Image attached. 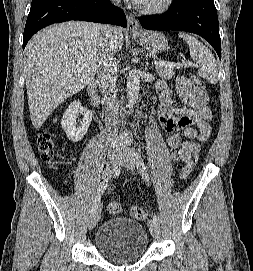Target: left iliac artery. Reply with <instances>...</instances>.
Returning <instances> with one entry per match:
<instances>
[{"label":"left iliac artery","instance_id":"left-iliac-artery-1","mask_svg":"<svg viewBox=\"0 0 253 271\" xmlns=\"http://www.w3.org/2000/svg\"><path fill=\"white\" fill-rule=\"evenodd\" d=\"M137 169H138V172L141 174V176L145 179V180H149V174L147 172V169H146V166H145V163H144V160L142 158V154L141 152L138 150L137 152ZM153 221L159 223L160 222V217L159 215H154L153 216Z\"/></svg>","mask_w":253,"mask_h":271}]
</instances>
